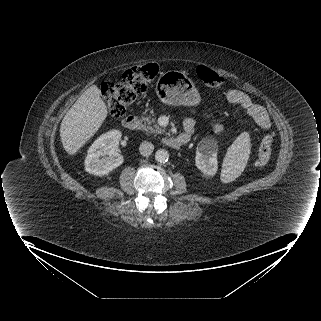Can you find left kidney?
Returning <instances> with one entry per match:
<instances>
[{
	"mask_svg": "<svg viewBox=\"0 0 321 321\" xmlns=\"http://www.w3.org/2000/svg\"><path fill=\"white\" fill-rule=\"evenodd\" d=\"M217 152L218 148L214 139H207L202 141L197 146L196 150V167L202 173L208 176L215 175L218 170ZM245 166L243 167L241 173L243 172Z\"/></svg>",
	"mask_w": 321,
	"mask_h": 321,
	"instance_id": "left-kidney-1",
	"label": "left kidney"
}]
</instances>
